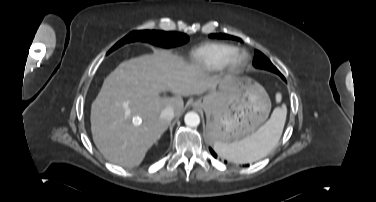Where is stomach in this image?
Returning <instances> with one entry per match:
<instances>
[{"label": "stomach", "instance_id": "1", "mask_svg": "<svg viewBox=\"0 0 376 202\" xmlns=\"http://www.w3.org/2000/svg\"><path fill=\"white\" fill-rule=\"evenodd\" d=\"M193 105L206 113L209 139L224 143L254 133L270 111V99L263 87L240 77L222 80Z\"/></svg>", "mask_w": 376, "mask_h": 202}]
</instances>
